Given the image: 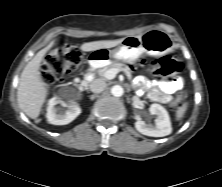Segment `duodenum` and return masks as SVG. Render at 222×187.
Wrapping results in <instances>:
<instances>
[{
  "instance_id": "410a0bca",
  "label": "duodenum",
  "mask_w": 222,
  "mask_h": 187,
  "mask_svg": "<svg viewBox=\"0 0 222 187\" xmlns=\"http://www.w3.org/2000/svg\"><path fill=\"white\" fill-rule=\"evenodd\" d=\"M93 74H94V67H93V65H90L84 74V79H83L81 86H85L86 83L91 81L93 78Z\"/></svg>"
}]
</instances>
